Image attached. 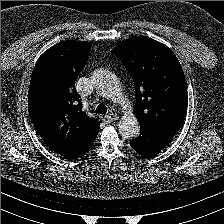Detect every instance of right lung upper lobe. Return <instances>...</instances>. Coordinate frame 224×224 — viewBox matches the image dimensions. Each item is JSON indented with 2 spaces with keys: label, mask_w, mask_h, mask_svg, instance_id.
Masks as SVG:
<instances>
[{
  "label": "right lung upper lobe",
  "mask_w": 224,
  "mask_h": 224,
  "mask_svg": "<svg viewBox=\"0 0 224 224\" xmlns=\"http://www.w3.org/2000/svg\"><path fill=\"white\" fill-rule=\"evenodd\" d=\"M91 45L64 41L45 51L32 72L28 110L45 144L59 155L75 158L94 141L100 124L82 111L75 80L86 65Z\"/></svg>",
  "instance_id": "cb5924a9"
}]
</instances>
